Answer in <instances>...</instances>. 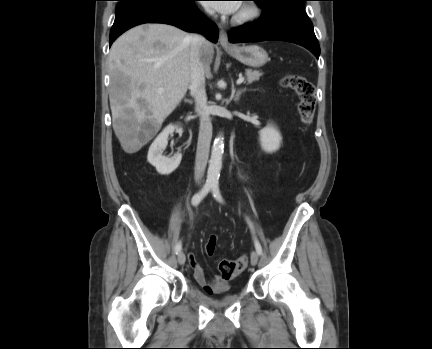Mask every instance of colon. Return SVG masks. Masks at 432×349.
I'll use <instances>...</instances> for the list:
<instances>
[{
  "instance_id": "colon-1",
  "label": "colon",
  "mask_w": 432,
  "mask_h": 349,
  "mask_svg": "<svg viewBox=\"0 0 432 349\" xmlns=\"http://www.w3.org/2000/svg\"><path fill=\"white\" fill-rule=\"evenodd\" d=\"M284 88L293 90L298 96V112L304 125H310L313 121L316 108V95L314 85L305 77L288 73L281 79ZM217 246V238L212 235L206 243V253L213 255ZM248 266L247 256H241L236 260L223 259L218 268L220 277L224 280H232L242 273Z\"/></svg>"
}]
</instances>
